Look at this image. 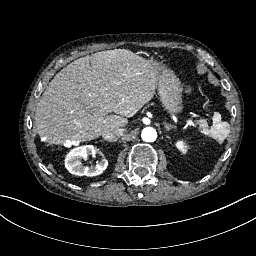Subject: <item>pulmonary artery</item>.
<instances>
[{
	"label": "pulmonary artery",
	"mask_w": 256,
	"mask_h": 256,
	"mask_svg": "<svg viewBox=\"0 0 256 256\" xmlns=\"http://www.w3.org/2000/svg\"><path fill=\"white\" fill-rule=\"evenodd\" d=\"M126 113L128 114V115H131L133 112H134V110H132L131 108H129V107H127L126 108Z\"/></svg>",
	"instance_id": "e3ab8cb5"
}]
</instances>
